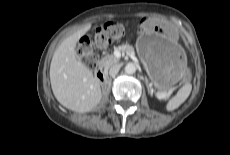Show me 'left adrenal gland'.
<instances>
[{
    "label": "left adrenal gland",
    "instance_id": "obj_1",
    "mask_svg": "<svg viewBox=\"0 0 230 155\" xmlns=\"http://www.w3.org/2000/svg\"><path fill=\"white\" fill-rule=\"evenodd\" d=\"M145 82H146V85H147L148 92L152 95V91L150 90V88L148 86V80H147V78H145Z\"/></svg>",
    "mask_w": 230,
    "mask_h": 155
}]
</instances>
